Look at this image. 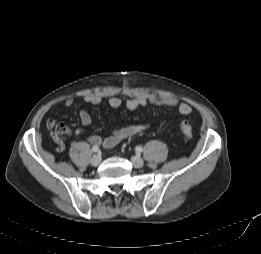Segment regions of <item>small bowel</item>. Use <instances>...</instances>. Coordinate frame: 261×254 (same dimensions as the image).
<instances>
[{"instance_id":"small-bowel-1","label":"small bowel","mask_w":261,"mask_h":254,"mask_svg":"<svg viewBox=\"0 0 261 254\" xmlns=\"http://www.w3.org/2000/svg\"><path fill=\"white\" fill-rule=\"evenodd\" d=\"M103 97L98 94H91V95H86L84 97V101L88 104L91 105H98L102 102ZM121 100L118 97H111L108 100V104L110 108L116 109L121 106ZM154 105V106H165L169 108H174L176 109L179 113L183 115H188L191 113L192 109L191 107L184 103L181 102L175 98L172 97H155V96H150L147 98L144 97H136L128 100L126 102V107L129 110H137L141 107H144L146 105ZM73 106V100L72 99H66L63 102V107L64 108H70ZM79 119L81 122V125L83 127L89 126L92 122V117L90 113L87 110H81L79 112ZM46 126L49 130H53V135L54 136H75V137H80L84 130L82 127H78L74 130L69 128L67 125L63 123H59L54 119H49L46 122ZM149 129L148 124H142V125H128L124 126L121 128H118L114 130L109 136L102 138L98 135H90L88 137V141L91 144H94L96 146H103L104 148H113L117 144H119L121 141H123L126 138H129L137 133L146 131Z\"/></svg>"}]
</instances>
